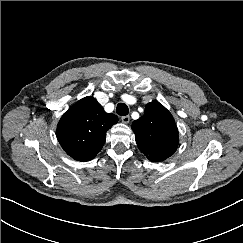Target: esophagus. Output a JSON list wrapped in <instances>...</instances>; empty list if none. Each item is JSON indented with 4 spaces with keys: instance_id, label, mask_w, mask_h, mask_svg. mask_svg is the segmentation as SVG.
Masks as SVG:
<instances>
[{
    "instance_id": "1",
    "label": "esophagus",
    "mask_w": 243,
    "mask_h": 243,
    "mask_svg": "<svg viewBox=\"0 0 243 243\" xmlns=\"http://www.w3.org/2000/svg\"><path fill=\"white\" fill-rule=\"evenodd\" d=\"M121 120H122L123 123L128 124L129 121H130V117L129 116H122Z\"/></svg>"
}]
</instances>
